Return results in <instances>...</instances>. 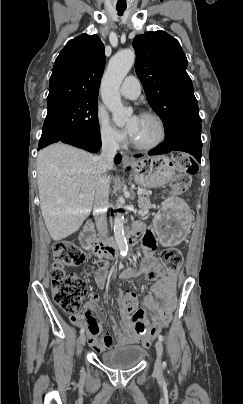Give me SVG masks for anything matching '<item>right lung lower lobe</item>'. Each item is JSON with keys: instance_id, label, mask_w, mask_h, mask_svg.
Segmentation results:
<instances>
[{"instance_id": "right-lung-lower-lobe-1", "label": "right lung lower lobe", "mask_w": 243, "mask_h": 404, "mask_svg": "<svg viewBox=\"0 0 243 404\" xmlns=\"http://www.w3.org/2000/svg\"><path fill=\"white\" fill-rule=\"evenodd\" d=\"M59 141L70 144L89 152H98L101 148L100 136H90L81 133H69L62 136ZM121 161V156L118 154L115 157V162L119 163Z\"/></svg>"}]
</instances>
